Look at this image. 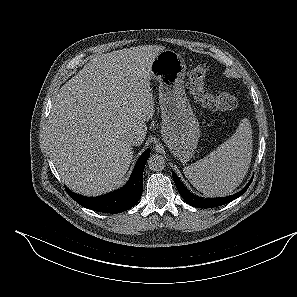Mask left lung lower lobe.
Returning a JSON list of instances; mask_svg holds the SVG:
<instances>
[{
  "instance_id": "obj_1",
  "label": "left lung lower lobe",
  "mask_w": 297,
  "mask_h": 297,
  "mask_svg": "<svg viewBox=\"0 0 297 297\" xmlns=\"http://www.w3.org/2000/svg\"><path fill=\"white\" fill-rule=\"evenodd\" d=\"M172 176L181 197L188 204L197 208H212V207H217V206H221L226 203H229L235 200L236 198L240 197L248 189V187L250 186V183L253 180V177H252L250 182L245 186V188L234 195L223 197V198H201L192 194L190 191H188L186 187L181 183V181L179 180V178L176 176L175 173L172 172Z\"/></svg>"
}]
</instances>
